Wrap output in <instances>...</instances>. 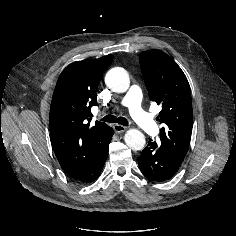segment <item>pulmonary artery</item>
Listing matches in <instances>:
<instances>
[{"label":"pulmonary artery","mask_w":236,"mask_h":236,"mask_svg":"<svg viewBox=\"0 0 236 236\" xmlns=\"http://www.w3.org/2000/svg\"><path fill=\"white\" fill-rule=\"evenodd\" d=\"M141 89L133 85L125 93L122 104L126 106L135 122L148 134L158 131L156 122L141 107Z\"/></svg>","instance_id":"obj_1"}]
</instances>
